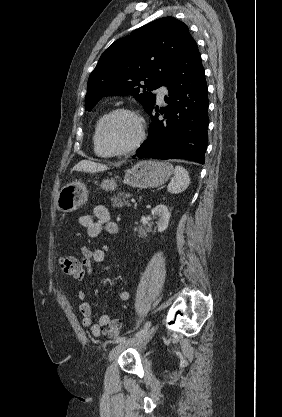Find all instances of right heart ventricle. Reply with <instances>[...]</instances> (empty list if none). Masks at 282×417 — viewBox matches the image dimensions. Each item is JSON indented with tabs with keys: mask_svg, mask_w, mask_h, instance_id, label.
Segmentation results:
<instances>
[{
	"mask_svg": "<svg viewBox=\"0 0 282 417\" xmlns=\"http://www.w3.org/2000/svg\"><path fill=\"white\" fill-rule=\"evenodd\" d=\"M105 117H102L99 121H98V123H97V126H96V131H95V135H94V144H95V150H96V152L99 154V155H101V156H106V155H108L103 149H102V147L100 146V143H99V131H100V125H101V123H102V121H103V119H104Z\"/></svg>",
	"mask_w": 282,
	"mask_h": 417,
	"instance_id": "right-heart-ventricle-1",
	"label": "right heart ventricle"
}]
</instances>
